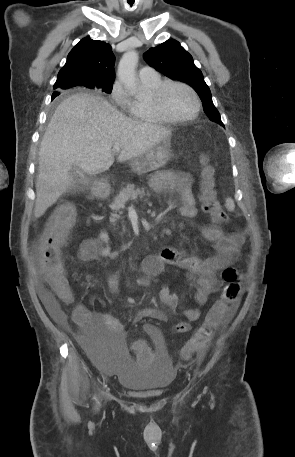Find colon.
Segmentation results:
<instances>
[{"instance_id": "obj_1", "label": "colon", "mask_w": 295, "mask_h": 457, "mask_svg": "<svg viewBox=\"0 0 295 457\" xmlns=\"http://www.w3.org/2000/svg\"><path fill=\"white\" fill-rule=\"evenodd\" d=\"M200 200L203 210L217 223L228 220L221 209L214 189L213 169L202 158ZM75 220V210L69 204L61 205L51 216L38 244V256L48 285L63 302L73 299L72 288L64 275L61 248L65 236ZM225 286L220 298L210 308L204 322L182 349V358L187 360L205 350L214 331L232 314L240 295L241 272L237 268H226L222 273ZM133 354L137 366H152L154 352L149 350L148 341H135Z\"/></svg>"}]
</instances>
